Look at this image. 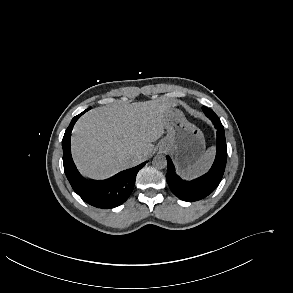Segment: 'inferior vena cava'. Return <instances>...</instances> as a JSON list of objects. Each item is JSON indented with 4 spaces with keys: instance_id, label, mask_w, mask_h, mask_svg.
<instances>
[{
    "instance_id": "1",
    "label": "inferior vena cava",
    "mask_w": 293,
    "mask_h": 293,
    "mask_svg": "<svg viewBox=\"0 0 293 293\" xmlns=\"http://www.w3.org/2000/svg\"><path fill=\"white\" fill-rule=\"evenodd\" d=\"M134 159H135V160H138V159H139V155L136 154V155L134 156Z\"/></svg>"
}]
</instances>
